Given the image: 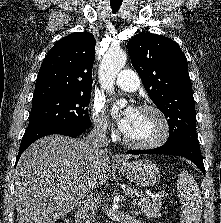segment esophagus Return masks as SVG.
<instances>
[{"mask_svg":"<svg viewBox=\"0 0 221 223\" xmlns=\"http://www.w3.org/2000/svg\"><path fill=\"white\" fill-rule=\"evenodd\" d=\"M112 160L115 163H123L124 162L123 158L118 154L114 155Z\"/></svg>","mask_w":221,"mask_h":223,"instance_id":"obj_1","label":"esophagus"}]
</instances>
